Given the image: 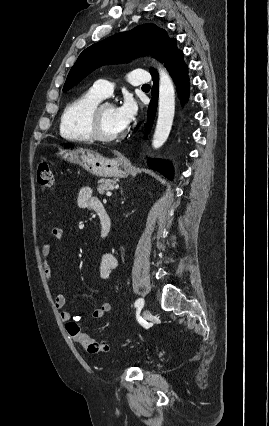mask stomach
I'll return each mask as SVG.
<instances>
[{
  "label": "stomach",
  "mask_w": 269,
  "mask_h": 426,
  "mask_svg": "<svg viewBox=\"0 0 269 426\" xmlns=\"http://www.w3.org/2000/svg\"><path fill=\"white\" fill-rule=\"evenodd\" d=\"M61 159L82 166L91 174L99 177H127L130 166L120 157L107 159L88 149H59L56 153Z\"/></svg>",
  "instance_id": "stomach-1"
}]
</instances>
